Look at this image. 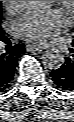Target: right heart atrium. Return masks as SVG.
Segmentation results:
<instances>
[{"label":"right heart atrium","mask_w":74,"mask_h":122,"mask_svg":"<svg viewBox=\"0 0 74 122\" xmlns=\"http://www.w3.org/2000/svg\"><path fill=\"white\" fill-rule=\"evenodd\" d=\"M6 10L13 13L20 8V1H3Z\"/></svg>","instance_id":"d8ad5b80"}]
</instances>
